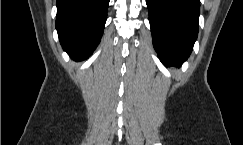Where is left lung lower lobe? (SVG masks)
Listing matches in <instances>:
<instances>
[{
    "label": "left lung lower lobe",
    "mask_w": 243,
    "mask_h": 145,
    "mask_svg": "<svg viewBox=\"0 0 243 145\" xmlns=\"http://www.w3.org/2000/svg\"><path fill=\"white\" fill-rule=\"evenodd\" d=\"M154 48L165 65H181L198 34L199 0H146Z\"/></svg>",
    "instance_id": "left-lung-lower-lobe-1"
}]
</instances>
